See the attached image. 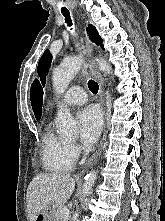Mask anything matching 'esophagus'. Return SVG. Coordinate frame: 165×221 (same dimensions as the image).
Segmentation results:
<instances>
[{"label": "esophagus", "mask_w": 165, "mask_h": 221, "mask_svg": "<svg viewBox=\"0 0 165 221\" xmlns=\"http://www.w3.org/2000/svg\"><path fill=\"white\" fill-rule=\"evenodd\" d=\"M84 43H85V48L87 53L89 54V56H91V54L93 53V45L92 43L89 41V39L85 36L84 37ZM89 70L91 75L96 79V81L99 84V93H100V101H101V105H102V109L104 110L105 113V119L107 118L106 115V104H105V96H104V80L97 68L96 63L93 60H90L89 63ZM106 134H107V127L105 124L104 127V133H103V137L101 139V144L99 149L89 158V160L87 161V165L91 164L99 155L101 152V147L106 139Z\"/></svg>", "instance_id": "1"}]
</instances>
